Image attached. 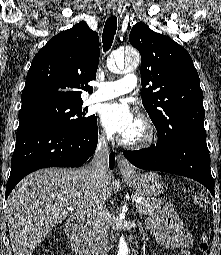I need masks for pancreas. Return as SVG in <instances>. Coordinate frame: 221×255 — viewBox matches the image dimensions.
<instances>
[{"instance_id": "obj_1", "label": "pancreas", "mask_w": 221, "mask_h": 255, "mask_svg": "<svg viewBox=\"0 0 221 255\" xmlns=\"http://www.w3.org/2000/svg\"><path fill=\"white\" fill-rule=\"evenodd\" d=\"M132 199H140L139 203H136V210L141 215H152L155 212H159L161 206L164 203L162 199L148 198L139 192H134L131 195Z\"/></svg>"}]
</instances>
